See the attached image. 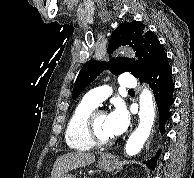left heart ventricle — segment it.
Masks as SVG:
<instances>
[{"mask_svg":"<svg viewBox=\"0 0 194 178\" xmlns=\"http://www.w3.org/2000/svg\"><path fill=\"white\" fill-rule=\"evenodd\" d=\"M106 120H107L106 114H100L95 119V126H96L97 133L103 139L112 138V136L109 134L107 130Z\"/></svg>","mask_w":194,"mask_h":178,"instance_id":"obj_1","label":"left heart ventricle"}]
</instances>
